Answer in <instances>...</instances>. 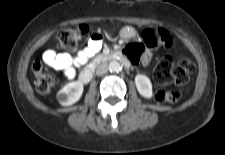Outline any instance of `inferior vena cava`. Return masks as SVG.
Masks as SVG:
<instances>
[{"mask_svg": "<svg viewBox=\"0 0 225 155\" xmlns=\"http://www.w3.org/2000/svg\"><path fill=\"white\" fill-rule=\"evenodd\" d=\"M108 71V67L105 63L100 64L96 69V75H103Z\"/></svg>", "mask_w": 225, "mask_h": 155, "instance_id": "inferior-vena-cava-1", "label": "inferior vena cava"}]
</instances>
